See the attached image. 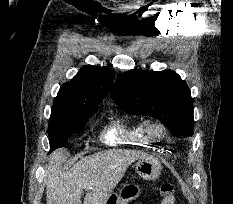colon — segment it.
Listing matches in <instances>:
<instances>
[{
    "mask_svg": "<svg viewBox=\"0 0 233 204\" xmlns=\"http://www.w3.org/2000/svg\"><path fill=\"white\" fill-rule=\"evenodd\" d=\"M160 204H174L175 192L171 183H165L160 188Z\"/></svg>",
    "mask_w": 233,
    "mask_h": 204,
    "instance_id": "colon-1",
    "label": "colon"
}]
</instances>
